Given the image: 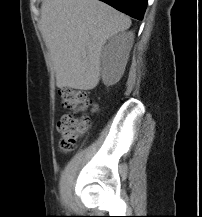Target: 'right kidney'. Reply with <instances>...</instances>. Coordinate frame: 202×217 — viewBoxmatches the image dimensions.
Masks as SVG:
<instances>
[{
	"instance_id": "obj_1",
	"label": "right kidney",
	"mask_w": 202,
	"mask_h": 217,
	"mask_svg": "<svg viewBox=\"0 0 202 217\" xmlns=\"http://www.w3.org/2000/svg\"><path fill=\"white\" fill-rule=\"evenodd\" d=\"M133 41V32H122L111 37L104 47L101 57V77L105 85H114L122 77Z\"/></svg>"
}]
</instances>
